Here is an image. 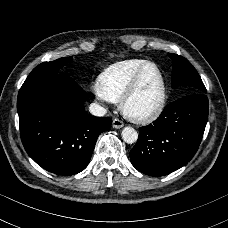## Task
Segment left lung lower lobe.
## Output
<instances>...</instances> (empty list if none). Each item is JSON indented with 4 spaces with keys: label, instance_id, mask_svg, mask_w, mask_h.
Returning a JSON list of instances; mask_svg holds the SVG:
<instances>
[{
    "label": "left lung lower lobe",
    "instance_id": "left-lung-lower-lobe-1",
    "mask_svg": "<svg viewBox=\"0 0 228 228\" xmlns=\"http://www.w3.org/2000/svg\"><path fill=\"white\" fill-rule=\"evenodd\" d=\"M208 120V98L195 93L166 106L150 125L139 128L130 151L132 165L149 176H164L195 155Z\"/></svg>",
    "mask_w": 228,
    "mask_h": 228
}]
</instances>
